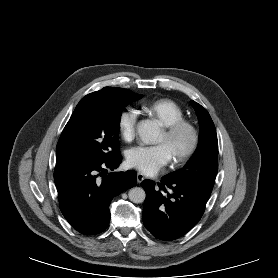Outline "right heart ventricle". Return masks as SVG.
Wrapping results in <instances>:
<instances>
[{"mask_svg":"<svg viewBox=\"0 0 278 278\" xmlns=\"http://www.w3.org/2000/svg\"><path fill=\"white\" fill-rule=\"evenodd\" d=\"M142 110L164 127L184 119V111L178 103L171 99H158L145 103L142 105Z\"/></svg>","mask_w":278,"mask_h":278,"instance_id":"obj_1","label":"right heart ventricle"}]
</instances>
